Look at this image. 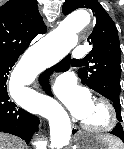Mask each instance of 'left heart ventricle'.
<instances>
[{"mask_svg":"<svg viewBox=\"0 0 124 149\" xmlns=\"http://www.w3.org/2000/svg\"><path fill=\"white\" fill-rule=\"evenodd\" d=\"M107 120V114L101 105L93 103V106L87 116L83 119L84 122L93 126H101Z\"/></svg>","mask_w":124,"mask_h":149,"instance_id":"left-heart-ventricle-1","label":"left heart ventricle"}]
</instances>
